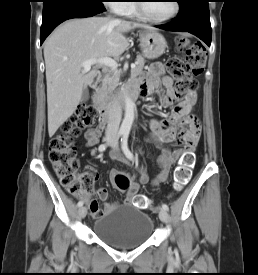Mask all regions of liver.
I'll return each mask as SVG.
<instances>
[{
  "instance_id": "1",
  "label": "liver",
  "mask_w": 258,
  "mask_h": 275,
  "mask_svg": "<svg viewBox=\"0 0 258 275\" xmlns=\"http://www.w3.org/2000/svg\"><path fill=\"white\" fill-rule=\"evenodd\" d=\"M134 28L156 30L140 23L88 17L66 21L48 37L44 59L50 137L74 113L83 90L93 78V73L82 71V64L87 60L120 57L128 46L124 33Z\"/></svg>"
}]
</instances>
